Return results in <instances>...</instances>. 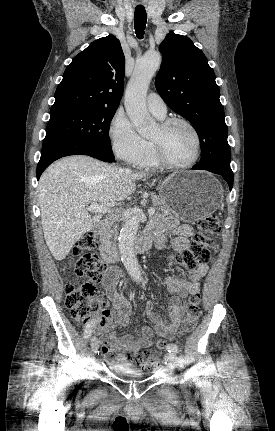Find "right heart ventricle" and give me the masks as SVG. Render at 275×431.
Segmentation results:
<instances>
[{"label":"right heart ventricle","instance_id":"1","mask_svg":"<svg viewBox=\"0 0 275 431\" xmlns=\"http://www.w3.org/2000/svg\"><path fill=\"white\" fill-rule=\"evenodd\" d=\"M156 117L161 119V120H163L165 118V116H162V117L156 116ZM135 164L137 166H139L140 168H144V169H154V168H157L160 166L153 156L152 147H151L150 142H147L146 152Z\"/></svg>","mask_w":275,"mask_h":431}]
</instances>
